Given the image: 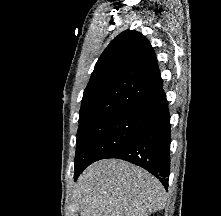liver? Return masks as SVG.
Returning <instances> with one entry per match:
<instances>
[{
	"mask_svg": "<svg viewBox=\"0 0 221 216\" xmlns=\"http://www.w3.org/2000/svg\"><path fill=\"white\" fill-rule=\"evenodd\" d=\"M75 194L80 216H148L167 201L156 177L118 159L90 165L79 177Z\"/></svg>",
	"mask_w": 221,
	"mask_h": 216,
	"instance_id": "liver-1",
	"label": "liver"
}]
</instances>
